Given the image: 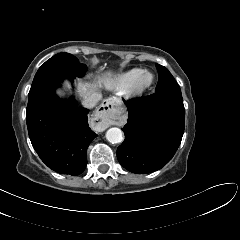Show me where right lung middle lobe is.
<instances>
[{
  "label": "right lung middle lobe",
  "instance_id": "obj_1",
  "mask_svg": "<svg viewBox=\"0 0 240 240\" xmlns=\"http://www.w3.org/2000/svg\"><path fill=\"white\" fill-rule=\"evenodd\" d=\"M87 67L69 53H59L47 60L37 71L29 95L35 93L44 84L64 78L74 79L84 75ZM28 95V96H29Z\"/></svg>",
  "mask_w": 240,
  "mask_h": 240
}]
</instances>
